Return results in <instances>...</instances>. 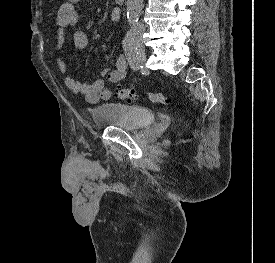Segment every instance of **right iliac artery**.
I'll return each instance as SVG.
<instances>
[{
	"label": "right iliac artery",
	"mask_w": 275,
	"mask_h": 263,
	"mask_svg": "<svg viewBox=\"0 0 275 263\" xmlns=\"http://www.w3.org/2000/svg\"><path fill=\"white\" fill-rule=\"evenodd\" d=\"M123 48L127 60L133 70L140 68L139 54L131 34L128 32L123 40Z\"/></svg>",
	"instance_id": "right-iliac-artery-1"
}]
</instances>
